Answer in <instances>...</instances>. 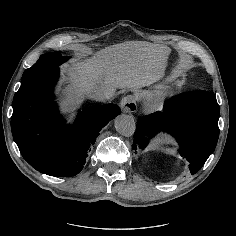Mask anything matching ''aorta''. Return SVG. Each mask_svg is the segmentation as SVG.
Segmentation results:
<instances>
[{"mask_svg": "<svg viewBox=\"0 0 236 236\" xmlns=\"http://www.w3.org/2000/svg\"><path fill=\"white\" fill-rule=\"evenodd\" d=\"M114 124L116 131L125 137L132 136L136 130L134 118L129 115L122 114L118 116Z\"/></svg>", "mask_w": 236, "mask_h": 236, "instance_id": "obj_1", "label": "aorta"}]
</instances>
